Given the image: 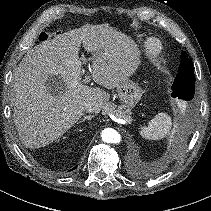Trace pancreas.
<instances>
[{"label":"pancreas","instance_id":"obj_1","mask_svg":"<svg viewBox=\"0 0 211 211\" xmlns=\"http://www.w3.org/2000/svg\"><path fill=\"white\" fill-rule=\"evenodd\" d=\"M106 110H107L108 113L113 114L117 118L124 119V120H126L128 122L131 121V117L129 116L130 111L125 109L124 106H119L118 108H116L115 105L109 104L106 107Z\"/></svg>","mask_w":211,"mask_h":211}]
</instances>
